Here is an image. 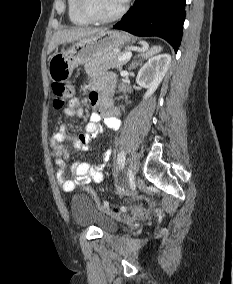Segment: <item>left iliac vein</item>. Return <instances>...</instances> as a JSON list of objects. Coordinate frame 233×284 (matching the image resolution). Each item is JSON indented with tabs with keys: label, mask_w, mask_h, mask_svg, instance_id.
<instances>
[{
	"label": "left iliac vein",
	"mask_w": 233,
	"mask_h": 284,
	"mask_svg": "<svg viewBox=\"0 0 233 284\" xmlns=\"http://www.w3.org/2000/svg\"><path fill=\"white\" fill-rule=\"evenodd\" d=\"M139 166H140V158L139 155L134 153L129 161V170L132 174V176L134 177L136 175V173L139 170Z\"/></svg>",
	"instance_id": "4c4485c4"
}]
</instances>
